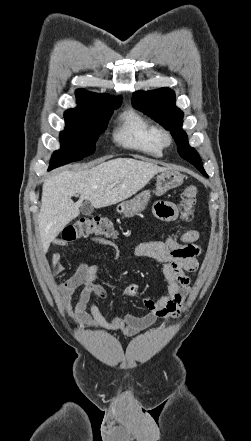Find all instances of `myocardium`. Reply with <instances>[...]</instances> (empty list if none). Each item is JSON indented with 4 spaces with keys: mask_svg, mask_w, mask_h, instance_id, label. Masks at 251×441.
Masks as SVG:
<instances>
[{
    "mask_svg": "<svg viewBox=\"0 0 251 441\" xmlns=\"http://www.w3.org/2000/svg\"><path fill=\"white\" fill-rule=\"evenodd\" d=\"M160 140L164 147L170 146L173 141V137L168 130H160Z\"/></svg>",
    "mask_w": 251,
    "mask_h": 441,
    "instance_id": "f54148a6",
    "label": "myocardium"
}]
</instances>
